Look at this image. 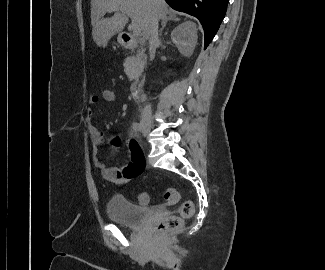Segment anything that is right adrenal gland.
Wrapping results in <instances>:
<instances>
[{"instance_id": "2a0ac1e0", "label": "right adrenal gland", "mask_w": 325, "mask_h": 270, "mask_svg": "<svg viewBox=\"0 0 325 270\" xmlns=\"http://www.w3.org/2000/svg\"><path fill=\"white\" fill-rule=\"evenodd\" d=\"M171 20L179 21V18H177L175 15H169L168 17L164 18L162 21V27L159 31V36L162 35V31H163L164 27L166 26V23Z\"/></svg>"}]
</instances>
